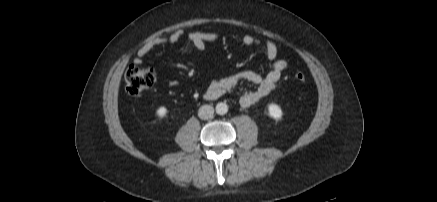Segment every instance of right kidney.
I'll return each instance as SVG.
<instances>
[{
    "mask_svg": "<svg viewBox=\"0 0 437 202\" xmlns=\"http://www.w3.org/2000/svg\"><path fill=\"white\" fill-rule=\"evenodd\" d=\"M166 113H167V108L164 107V106H161V107H159V108L156 110V115H157L159 118L164 117V116L166 115Z\"/></svg>",
    "mask_w": 437,
    "mask_h": 202,
    "instance_id": "right-kidney-1",
    "label": "right kidney"
}]
</instances>
